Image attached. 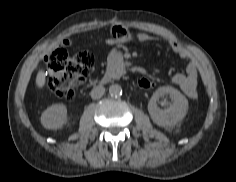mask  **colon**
Segmentation results:
<instances>
[{
	"instance_id": "5ec220e1",
	"label": "colon",
	"mask_w": 236,
	"mask_h": 182,
	"mask_svg": "<svg viewBox=\"0 0 236 182\" xmlns=\"http://www.w3.org/2000/svg\"><path fill=\"white\" fill-rule=\"evenodd\" d=\"M94 64V56L88 51L70 56L63 48H54L46 58L51 92L63 100L73 99L77 86L91 72ZM137 84L146 90L154 87V82L146 76L138 77Z\"/></svg>"
}]
</instances>
